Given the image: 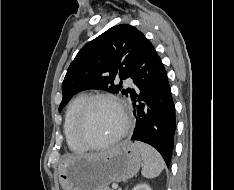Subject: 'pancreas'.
I'll return each instance as SVG.
<instances>
[{
    "instance_id": "cf45deb5",
    "label": "pancreas",
    "mask_w": 234,
    "mask_h": 190,
    "mask_svg": "<svg viewBox=\"0 0 234 190\" xmlns=\"http://www.w3.org/2000/svg\"><path fill=\"white\" fill-rule=\"evenodd\" d=\"M104 190H111L110 188L106 187Z\"/></svg>"
}]
</instances>
